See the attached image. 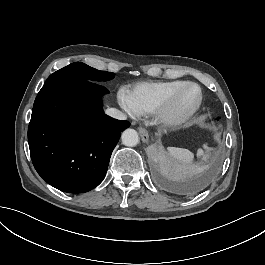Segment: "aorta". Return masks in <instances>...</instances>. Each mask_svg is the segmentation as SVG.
<instances>
[{
    "label": "aorta",
    "instance_id": "aorta-1",
    "mask_svg": "<svg viewBox=\"0 0 265 265\" xmlns=\"http://www.w3.org/2000/svg\"><path fill=\"white\" fill-rule=\"evenodd\" d=\"M122 143L128 147H135L139 143V135L134 129H127L122 133Z\"/></svg>",
    "mask_w": 265,
    "mask_h": 265
}]
</instances>
